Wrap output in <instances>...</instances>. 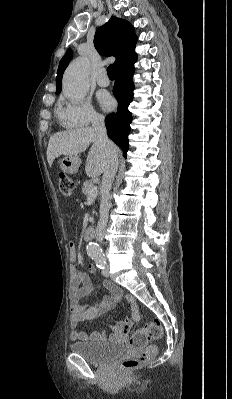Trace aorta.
Masks as SVG:
<instances>
[{"label":"aorta","instance_id":"aorta-1","mask_svg":"<svg viewBox=\"0 0 232 399\" xmlns=\"http://www.w3.org/2000/svg\"><path fill=\"white\" fill-rule=\"evenodd\" d=\"M90 63L86 58H77L70 63L63 76V94L72 102H80L89 90ZM90 256L101 254V247L97 243H89L86 247Z\"/></svg>","mask_w":232,"mask_h":399}]
</instances>
